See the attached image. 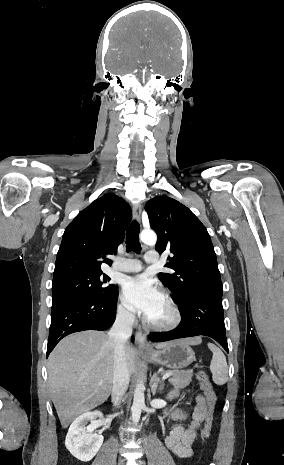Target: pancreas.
<instances>
[{
  "instance_id": "pancreas-1",
  "label": "pancreas",
  "mask_w": 284,
  "mask_h": 465,
  "mask_svg": "<svg viewBox=\"0 0 284 465\" xmlns=\"http://www.w3.org/2000/svg\"><path fill=\"white\" fill-rule=\"evenodd\" d=\"M172 373L173 375H171L169 383H172L174 389H184V387L190 385L193 371H172ZM162 375H165V373H162Z\"/></svg>"
}]
</instances>
